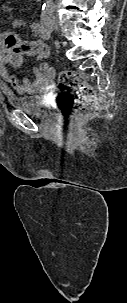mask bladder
Masks as SVG:
<instances>
[{
    "mask_svg": "<svg viewBox=\"0 0 127 303\" xmlns=\"http://www.w3.org/2000/svg\"><path fill=\"white\" fill-rule=\"evenodd\" d=\"M8 102L12 108L25 111L31 115L45 116L49 114L41 96L36 94L9 95Z\"/></svg>",
    "mask_w": 127,
    "mask_h": 303,
    "instance_id": "bladder-1",
    "label": "bladder"
}]
</instances>
